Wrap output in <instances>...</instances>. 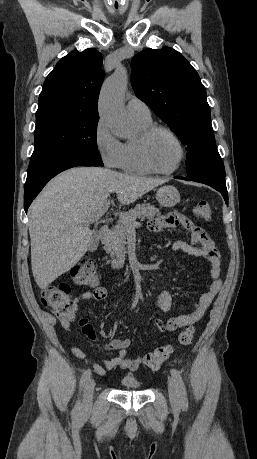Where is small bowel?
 <instances>
[{"mask_svg":"<svg viewBox=\"0 0 257 459\" xmlns=\"http://www.w3.org/2000/svg\"><path fill=\"white\" fill-rule=\"evenodd\" d=\"M165 217H149L148 228L152 232L159 231L161 229H175L176 226H181L186 229L192 236L194 243L189 244L183 241H176L172 245V249L177 252H183L190 256L202 257L209 264V280L210 284L208 289L201 295L196 303L193 304L192 309L189 313L172 317L166 322L160 319L154 321V326L159 331H176L180 328L190 326L198 322L219 290L222 286L221 279V266L219 260V252L215 248L209 237L197 227H195L191 221L182 215L180 208H165ZM196 243V244H195ZM107 297V290L102 286H96L91 291H86L75 297V302L79 303L84 300L91 301H103ZM153 303L164 313H167L171 309L172 297L168 291H160L154 298ZM75 320V315L70 319H61L60 323L66 331L71 329L72 323ZM79 325L81 326L82 332L88 337V339L95 341L96 333L87 318H80ZM131 345V339L115 338L107 342L104 346L105 350L117 351V356L112 359H103L100 363L91 362L92 368L99 375H105L109 370L116 367L127 370H136L141 364L144 363L145 357L131 358L127 356V348ZM72 354L80 360L88 361V358L84 351L79 346H73L71 348Z\"/></svg>","mask_w":257,"mask_h":459,"instance_id":"small-bowel-1","label":"small bowel"}]
</instances>
